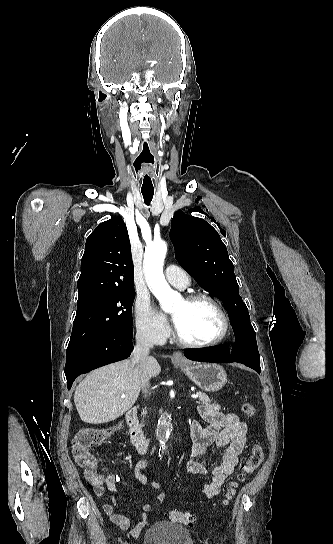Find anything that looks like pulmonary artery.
I'll use <instances>...</instances> for the list:
<instances>
[{
  "label": "pulmonary artery",
  "instance_id": "obj_1",
  "mask_svg": "<svg viewBox=\"0 0 333 544\" xmlns=\"http://www.w3.org/2000/svg\"><path fill=\"white\" fill-rule=\"evenodd\" d=\"M165 276L171 285L179 289H184L190 284L187 272L176 265H168Z\"/></svg>",
  "mask_w": 333,
  "mask_h": 544
}]
</instances>
